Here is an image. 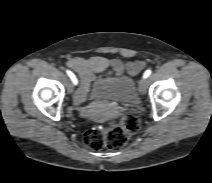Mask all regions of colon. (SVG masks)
<instances>
[{
    "instance_id": "obj_1",
    "label": "colon",
    "mask_w": 212,
    "mask_h": 183,
    "mask_svg": "<svg viewBox=\"0 0 212 183\" xmlns=\"http://www.w3.org/2000/svg\"><path fill=\"white\" fill-rule=\"evenodd\" d=\"M140 126V119L136 115L128 114L120 121H107L104 125L92 126L84 134V143L92 150L104 147L117 150L139 131Z\"/></svg>"
}]
</instances>
